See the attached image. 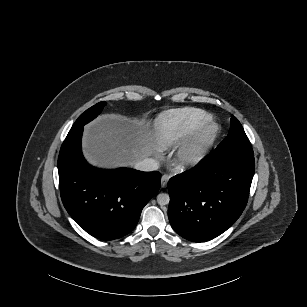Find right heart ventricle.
<instances>
[{
  "mask_svg": "<svg viewBox=\"0 0 307 307\" xmlns=\"http://www.w3.org/2000/svg\"><path fill=\"white\" fill-rule=\"evenodd\" d=\"M212 121V115L203 110L182 108L160 113L155 120V126L161 146L167 148L191 137Z\"/></svg>",
  "mask_w": 307,
  "mask_h": 307,
  "instance_id": "right-heart-ventricle-1",
  "label": "right heart ventricle"
}]
</instances>
